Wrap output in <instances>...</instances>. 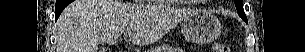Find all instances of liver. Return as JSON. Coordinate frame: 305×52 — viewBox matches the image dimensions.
Masks as SVG:
<instances>
[{"label": "liver", "instance_id": "6515ba94", "mask_svg": "<svg viewBox=\"0 0 305 52\" xmlns=\"http://www.w3.org/2000/svg\"><path fill=\"white\" fill-rule=\"evenodd\" d=\"M193 11L159 1L131 5L117 0H75L57 21V52H102L98 45H114L129 34L136 45L157 42Z\"/></svg>", "mask_w": 305, "mask_h": 52}]
</instances>
